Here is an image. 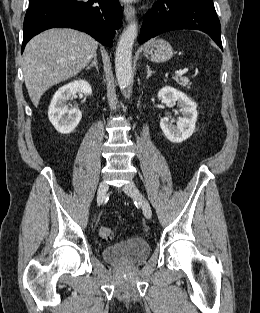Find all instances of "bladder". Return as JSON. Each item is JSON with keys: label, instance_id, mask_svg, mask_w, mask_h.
Here are the masks:
<instances>
[{"label": "bladder", "instance_id": "obj_1", "mask_svg": "<svg viewBox=\"0 0 260 313\" xmlns=\"http://www.w3.org/2000/svg\"><path fill=\"white\" fill-rule=\"evenodd\" d=\"M150 254L149 243L141 237H130L102 250L104 260L120 264H137Z\"/></svg>", "mask_w": 260, "mask_h": 313}]
</instances>
